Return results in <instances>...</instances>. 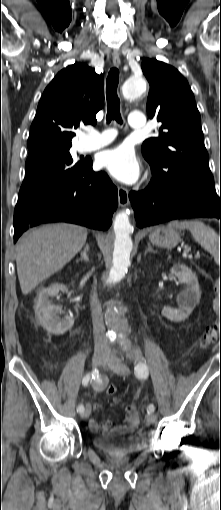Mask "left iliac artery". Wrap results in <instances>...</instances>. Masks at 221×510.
<instances>
[{"mask_svg":"<svg viewBox=\"0 0 221 510\" xmlns=\"http://www.w3.org/2000/svg\"><path fill=\"white\" fill-rule=\"evenodd\" d=\"M134 373L138 378L146 379L148 377V367L146 365V361L143 358H140L136 361ZM155 411V406L150 404L147 408L148 413H153Z\"/></svg>","mask_w":221,"mask_h":510,"instance_id":"1","label":"left iliac artery"}]
</instances>
